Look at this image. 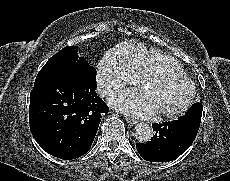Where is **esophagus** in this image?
Wrapping results in <instances>:
<instances>
[{
	"label": "esophagus",
	"mask_w": 230,
	"mask_h": 181,
	"mask_svg": "<svg viewBox=\"0 0 230 181\" xmlns=\"http://www.w3.org/2000/svg\"><path fill=\"white\" fill-rule=\"evenodd\" d=\"M125 120L131 125H134V124L137 123V121L135 119H133V118H131L129 116H125Z\"/></svg>",
	"instance_id": "obj_1"
}]
</instances>
